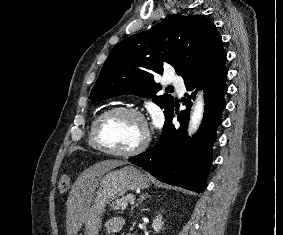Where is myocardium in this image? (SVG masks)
<instances>
[{"mask_svg": "<svg viewBox=\"0 0 283 235\" xmlns=\"http://www.w3.org/2000/svg\"><path fill=\"white\" fill-rule=\"evenodd\" d=\"M118 114H131L136 116L143 124L144 129H145V134L142 139V141L133 149L131 150H126V151H119V150H114L102 142L100 138V128L102 124L107 120L108 118L118 115ZM92 141L95 145V147L100 150L101 152L111 155V156H116V157H132L136 156L138 154H141L144 152L147 147L150 144L151 141V135L150 131L148 128L147 121L145 119V116L141 111H139L137 108L134 107H128V106H120V107H113L110 108L104 112H102L95 120L93 127H92Z\"/></svg>", "mask_w": 283, "mask_h": 235, "instance_id": "myocardium-1", "label": "myocardium"}]
</instances>
